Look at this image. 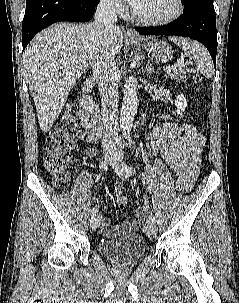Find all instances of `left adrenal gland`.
Wrapping results in <instances>:
<instances>
[{
  "label": "left adrenal gland",
  "instance_id": "a2214340",
  "mask_svg": "<svg viewBox=\"0 0 239 303\" xmlns=\"http://www.w3.org/2000/svg\"><path fill=\"white\" fill-rule=\"evenodd\" d=\"M146 71H147V74H156L158 75V71H156L153 66H152V63L148 62V64L146 65Z\"/></svg>",
  "mask_w": 239,
  "mask_h": 303
}]
</instances>
